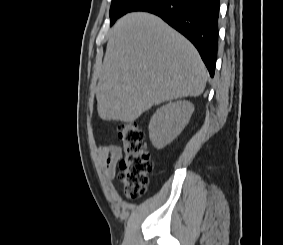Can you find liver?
<instances>
[{
	"instance_id": "6515ba94",
	"label": "liver",
	"mask_w": 283,
	"mask_h": 245,
	"mask_svg": "<svg viewBox=\"0 0 283 245\" xmlns=\"http://www.w3.org/2000/svg\"><path fill=\"white\" fill-rule=\"evenodd\" d=\"M207 70L195 47L159 17L120 18L109 38L96 89L103 120L134 122L153 105L197 97Z\"/></svg>"
}]
</instances>
